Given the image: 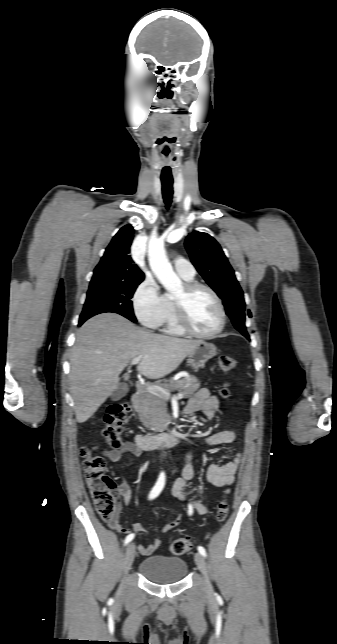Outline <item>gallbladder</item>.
<instances>
[{
    "mask_svg": "<svg viewBox=\"0 0 337 644\" xmlns=\"http://www.w3.org/2000/svg\"><path fill=\"white\" fill-rule=\"evenodd\" d=\"M128 391H129L128 385L126 383H121L119 384L118 388L112 393L111 399L113 401L120 400L121 398L126 396Z\"/></svg>",
    "mask_w": 337,
    "mask_h": 644,
    "instance_id": "bac80fb5",
    "label": "gallbladder"
}]
</instances>
